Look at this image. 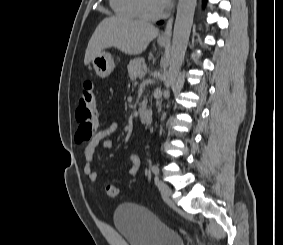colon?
Masks as SVG:
<instances>
[{
  "mask_svg": "<svg viewBox=\"0 0 283 245\" xmlns=\"http://www.w3.org/2000/svg\"><path fill=\"white\" fill-rule=\"evenodd\" d=\"M75 117L78 122L75 141L77 143L89 141L96 126L95 87L92 81H85L81 87ZM106 191L111 198H119L121 195L119 189L114 185H109Z\"/></svg>",
  "mask_w": 283,
  "mask_h": 245,
  "instance_id": "5ec220e1",
  "label": "colon"
}]
</instances>
